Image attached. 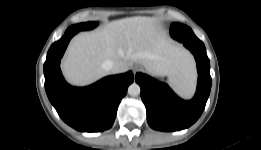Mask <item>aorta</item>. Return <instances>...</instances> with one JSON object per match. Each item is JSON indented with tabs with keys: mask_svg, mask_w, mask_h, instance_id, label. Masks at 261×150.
Returning <instances> with one entry per match:
<instances>
[{
	"mask_svg": "<svg viewBox=\"0 0 261 150\" xmlns=\"http://www.w3.org/2000/svg\"><path fill=\"white\" fill-rule=\"evenodd\" d=\"M140 86L134 82L132 83L129 87H128V93L131 95V96H137L140 94Z\"/></svg>",
	"mask_w": 261,
	"mask_h": 150,
	"instance_id": "1",
	"label": "aorta"
}]
</instances>
